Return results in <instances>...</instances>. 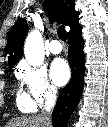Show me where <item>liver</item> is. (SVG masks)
I'll return each mask as SVG.
<instances>
[{"mask_svg": "<svg viewBox=\"0 0 108 127\" xmlns=\"http://www.w3.org/2000/svg\"><path fill=\"white\" fill-rule=\"evenodd\" d=\"M42 115L23 116L10 119L5 127H50Z\"/></svg>", "mask_w": 108, "mask_h": 127, "instance_id": "1", "label": "liver"}]
</instances>
